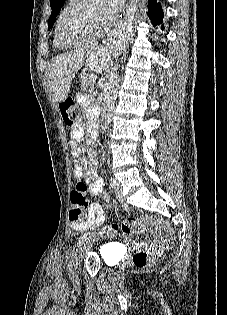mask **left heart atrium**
<instances>
[{
	"label": "left heart atrium",
	"mask_w": 227,
	"mask_h": 315,
	"mask_svg": "<svg viewBox=\"0 0 227 315\" xmlns=\"http://www.w3.org/2000/svg\"><path fill=\"white\" fill-rule=\"evenodd\" d=\"M125 0H98V5L106 25L110 24L122 9Z\"/></svg>",
	"instance_id": "39dd6f15"
}]
</instances>
